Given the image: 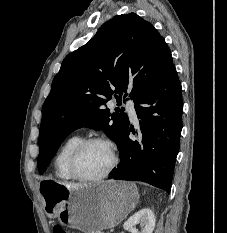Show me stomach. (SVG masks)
Segmentation results:
<instances>
[{
    "label": "stomach",
    "mask_w": 227,
    "mask_h": 233,
    "mask_svg": "<svg viewBox=\"0 0 227 233\" xmlns=\"http://www.w3.org/2000/svg\"><path fill=\"white\" fill-rule=\"evenodd\" d=\"M40 195L47 216L84 233H101L117 226L139 200L136 186L125 181H104L72 189L44 180Z\"/></svg>",
    "instance_id": "stomach-1"
}]
</instances>
